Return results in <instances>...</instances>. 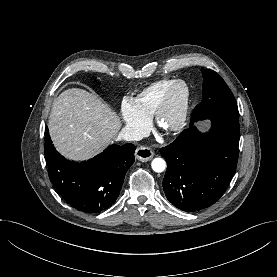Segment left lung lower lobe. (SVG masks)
Returning a JSON list of instances; mask_svg holds the SVG:
<instances>
[{"mask_svg":"<svg viewBox=\"0 0 277 277\" xmlns=\"http://www.w3.org/2000/svg\"><path fill=\"white\" fill-rule=\"evenodd\" d=\"M212 127L200 133L194 126L161 148L167 162L163 189L167 199L185 212L203 210L226 191L236 170L239 122L213 117Z\"/></svg>","mask_w":277,"mask_h":277,"instance_id":"1","label":"left lung lower lobe"}]
</instances>
